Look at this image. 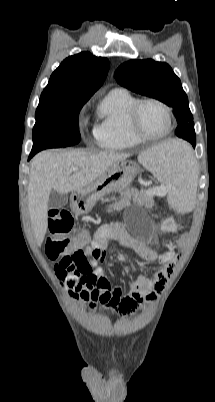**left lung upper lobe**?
Wrapping results in <instances>:
<instances>
[{"instance_id":"1","label":"left lung upper lobe","mask_w":215,"mask_h":402,"mask_svg":"<svg viewBox=\"0 0 215 402\" xmlns=\"http://www.w3.org/2000/svg\"><path fill=\"white\" fill-rule=\"evenodd\" d=\"M114 77L121 86L172 107L178 124L175 134L195 147L196 135L188 98L180 79L167 63L152 59L131 60L120 65Z\"/></svg>"}]
</instances>
